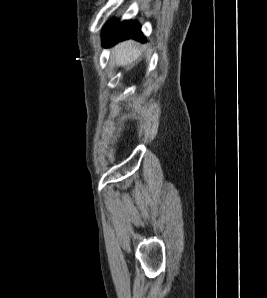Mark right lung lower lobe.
Listing matches in <instances>:
<instances>
[{
    "instance_id": "1",
    "label": "right lung lower lobe",
    "mask_w": 267,
    "mask_h": 298,
    "mask_svg": "<svg viewBox=\"0 0 267 298\" xmlns=\"http://www.w3.org/2000/svg\"><path fill=\"white\" fill-rule=\"evenodd\" d=\"M102 37L104 46H109L129 38L141 41L145 40L140 31V25L137 22L123 21L119 23L116 19L106 25Z\"/></svg>"
}]
</instances>
